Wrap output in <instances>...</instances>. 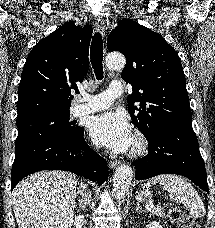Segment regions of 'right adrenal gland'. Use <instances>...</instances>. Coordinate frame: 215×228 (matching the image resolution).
Returning a JSON list of instances; mask_svg holds the SVG:
<instances>
[{"mask_svg":"<svg viewBox=\"0 0 215 228\" xmlns=\"http://www.w3.org/2000/svg\"><path fill=\"white\" fill-rule=\"evenodd\" d=\"M79 202H80V206H82V208H83V204H82L81 200H79ZM89 202H90V200H87V204H89Z\"/></svg>","mask_w":215,"mask_h":228,"instance_id":"obj_1","label":"right adrenal gland"}]
</instances>
